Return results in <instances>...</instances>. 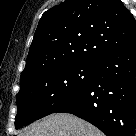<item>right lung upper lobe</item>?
I'll use <instances>...</instances> for the list:
<instances>
[{"instance_id":"1","label":"right lung upper lobe","mask_w":136,"mask_h":136,"mask_svg":"<svg viewBox=\"0 0 136 136\" xmlns=\"http://www.w3.org/2000/svg\"><path fill=\"white\" fill-rule=\"evenodd\" d=\"M136 40V21L120 0H66L37 26L20 82L43 69L98 64Z\"/></svg>"}]
</instances>
